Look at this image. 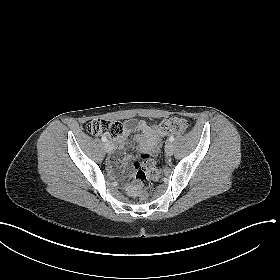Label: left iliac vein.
<instances>
[{
    "label": "left iliac vein",
    "mask_w": 280,
    "mask_h": 280,
    "mask_svg": "<svg viewBox=\"0 0 280 280\" xmlns=\"http://www.w3.org/2000/svg\"><path fill=\"white\" fill-rule=\"evenodd\" d=\"M165 152L167 155L171 156L174 152V146L171 142H168L165 146Z\"/></svg>",
    "instance_id": "4c4485c4"
}]
</instances>
